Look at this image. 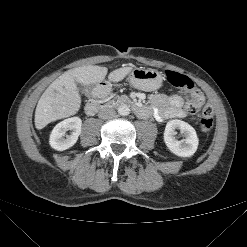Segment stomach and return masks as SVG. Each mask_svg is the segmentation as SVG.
<instances>
[{"instance_id": "0dacf381", "label": "stomach", "mask_w": 247, "mask_h": 247, "mask_svg": "<svg viewBox=\"0 0 247 247\" xmlns=\"http://www.w3.org/2000/svg\"><path fill=\"white\" fill-rule=\"evenodd\" d=\"M130 84L140 90L152 91L162 85V74L154 69L134 68L128 77Z\"/></svg>"}]
</instances>
